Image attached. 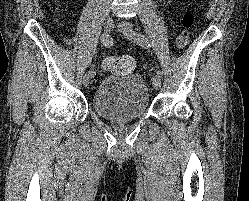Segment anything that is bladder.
Segmentation results:
<instances>
[{
  "mask_svg": "<svg viewBox=\"0 0 249 201\" xmlns=\"http://www.w3.org/2000/svg\"><path fill=\"white\" fill-rule=\"evenodd\" d=\"M92 106L98 116L108 120L138 119L149 108L146 83L138 74L109 75L97 85Z\"/></svg>",
  "mask_w": 249,
  "mask_h": 201,
  "instance_id": "bladder-1",
  "label": "bladder"
}]
</instances>
